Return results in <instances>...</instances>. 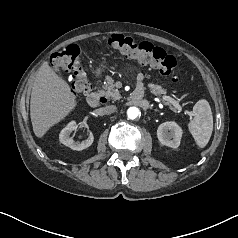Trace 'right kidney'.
I'll return each instance as SVG.
<instances>
[{"instance_id": "obj_1", "label": "right kidney", "mask_w": 238, "mask_h": 238, "mask_svg": "<svg viewBox=\"0 0 238 238\" xmlns=\"http://www.w3.org/2000/svg\"><path fill=\"white\" fill-rule=\"evenodd\" d=\"M77 129V124L75 121H71L59 134V140L62 144L67 147H70L73 150H83L89 147L93 141L94 136L91 131H89V136L87 139L83 140L82 142H75L72 137L71 133Z\"/></svg>"}]
</instances>
